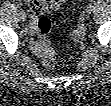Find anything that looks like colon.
Instances as JSON below:
<instances>
[{"label":"colon","instance_id":"5ec220e1","mask_svg":"<svg viewBox=\"0 0 111 106\" xmlns=\"http://www.w3.org/2000/svg\"><path fill=\"white\" fill-rule=\"evenodd\" d=\"M38 40L36 47L42 54L43 66L47 70H52L55 66V54L49 41V36L52 31V21L46 16H42L38 19L36 24Z\"/></svg>","mask_w":111,"mask_h":106}]
</instances>
